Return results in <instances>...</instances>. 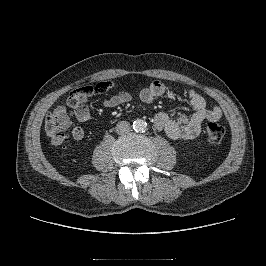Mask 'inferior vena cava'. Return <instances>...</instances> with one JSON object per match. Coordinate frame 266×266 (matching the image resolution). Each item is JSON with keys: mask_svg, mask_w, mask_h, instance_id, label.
<instances>
[{"mask_svg": "<svg viewBox=\"0 0 266 266\" xmlns=\"http://www.w3.org/2000/svg\"><path fill=\"white\" fill-rule=\"evenodd\" d=\"M115 129L118 134L123 135L130 132L131 126L130 123L127 121H120L117 123Z\"/></svg>", "mask_w": 266, "mask_h": 266, "instance_id": "obj_1", "label": "inferior vena cava"}]
</instances>
